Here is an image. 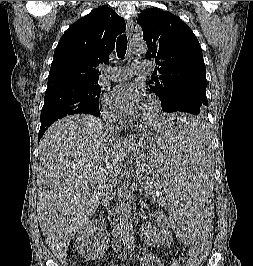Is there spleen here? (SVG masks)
I'll return each mask as SVG.
<instances>
[{"mask_svg":"<svg viewBox=\"0 0 253 266\" xmlns=\"http://www.w3.org/2000/svg\"><path fill=\"white\" fill-rule=\"evenodd\" d=\"M159 145L149 160L145 186L169 211L170 229L181 248H205L216 235L215 208L209 185L214 178L210 135L198 115L173 111L157 117Z\"/></svg>","mask_w":253,"mask_h":266,"instance_id":"obj_1","label":"spleen"}]
</instances>
